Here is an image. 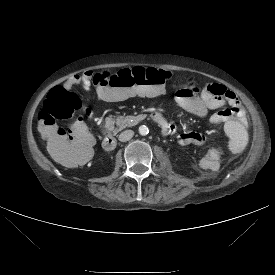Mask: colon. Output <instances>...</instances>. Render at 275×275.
Returning <instances> with one entry per match:
<instances>
[{"label":"colon","instance_id":"obj_1","mask_svg":"<svg viewBox=\"0 0 275 275\" xmlns=\"http://www.w3.org/2000/svg\"><path fill=\"white\" fill-rule=\"evenodd\" d=\"M171 73L156 68H134L111 75L100 72L92 75L99 86L101 99L123 102L134 97L158 96L163 93ZM81 100L70 88L57 86L49 93L40 119L47 127L48 151L53 158H60L73 149L78 130L71 127L69 133L57 128V121H68L81 109Z\"/></svg>","mask_w":275,"mask_h":275}]
</instances>
